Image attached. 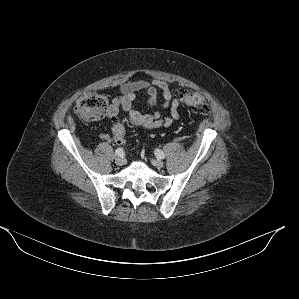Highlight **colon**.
Instances as JSON below:
<instances>
[{
    "mask_svg": "<svg viewBox=\"0 0 299 299\" xmlns=\"http://www.w3.org/2000/svg\"><path fill=\"white\" fill-rule=\"evenodd\" d=\"M179 99L184 104L196 109L201 113H209L210 106L204 94L194 91H185L179 95ZM109 106L108 98L97 93H83L79 96L75 105V113L83 120L97 121L107 114ZM114 136L124 141V126L120 122H115L113 126Z\"/></svg>",
    "mask_w": 299,
    "mask_h": 299,
    "instance_id": "obj_1",
    "label": "colon"
}]
</instances>
